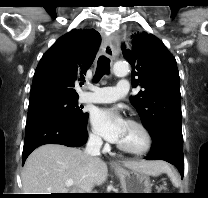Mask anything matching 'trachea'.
Segmentation results:
<instances>
[{
	"mask_svg": "<svg viewBox=\"0 0 208 198\" xmlns=\"http://www.w3.org/2000/svg\"><path fill=\"white\" fill-rule=\"evenodd\" d=\"M109 72H110V59L105 56H101L97 62V69L94 76V81L95 82L99 81L103 75L109 74Z\"/></svg>",
	"mask_w": 208,
	"mask_h": 198,
	"instance_id": "obj_1",
	"label": "trachea"
}]
</instances>
